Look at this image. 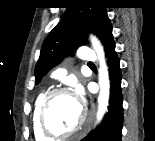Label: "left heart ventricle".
I'll list each match as a JSON object with an SVG mask.
<instances>
[{
    "label": "left heart ventricle",
    "mask_w": 155,
    "mask_h": 141,
    "mask_svg": "<svg viewBox=\"0 0 155 141\" xmlns=\"http://www.w3.org/2000/svg\"><path fill=\"white\" fill-rule=\"evenodd\" d=\"M82 119V108L72 95L60 94L53 97L47 111V124L53 131L67 132L74 129Z\"/></svg>",
    "instance_id": "left-heart-ventricle-1"
}]
</instances>
